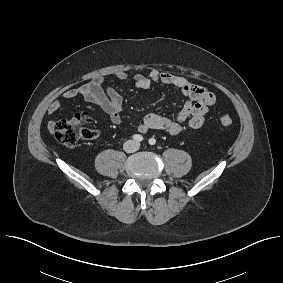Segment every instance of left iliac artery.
Masks as SVG:
<instances>
[{"label":"left iliac artery","instance_id":"left-iliac-artery-1","mask_svg":"<svg viewBox=\"0 0 283 283\" xmlns=\"http://www.w3.org/2000/svg\"><path fill=\"white\" fill-rule=\"evenodd\" d=\"M148 142L150 145H154L156 143V140L154 138H150Z\"/></svg>","mask_w":283,"mask_h":283}]
</instances>
